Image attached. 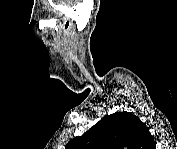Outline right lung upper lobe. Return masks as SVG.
Instances as JSON below:
<instances>
[{
  "label": "right lung upper lobe",
  "instance_id": "obj_1",
  "mask_svg": "<svg viewBox=\"0 0 177 149\" xmlns=\"http://www.w3.org/2000/svg\"><path fill=\"white\" fill-rule=\"evenodd\" d=\"M147 135L149 131L138 117L126 111L116 112L103 117L83 135L70 140L65 148L151 149L153 141L149 142Z\"/></svg>",
  "mask_w": 177,
  "mask_h": 149
}]
</instances>
